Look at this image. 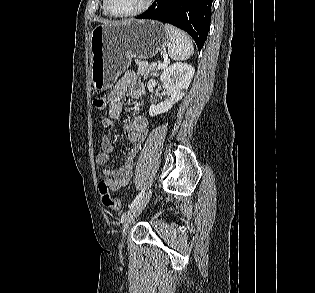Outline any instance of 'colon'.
I'll list each match as a JSON object with an SVG mask.
<instances>
[{
  "label": "colon",
  "mask_w": 315,
  "mask_h": 293,
  "mask_svg": "<svg viewBox=\"0 0 315 293\" xmlns=\"http://www.w3.org/2000/svg\"><path fill=\"white\" fill-rule=\"evenodd\" d=\"M108 101L105 96H100L94 99L93 105L97 110H103ZM99 192H100V197H101V202L102 204L113 210H118L121 207V203L118 199L114 198L105 182H100L99 183Z\"/></svg>",
  "instance_id": "colon-1"
}]
</instances>
